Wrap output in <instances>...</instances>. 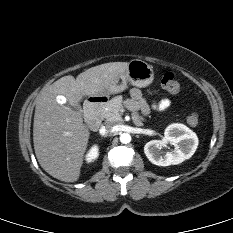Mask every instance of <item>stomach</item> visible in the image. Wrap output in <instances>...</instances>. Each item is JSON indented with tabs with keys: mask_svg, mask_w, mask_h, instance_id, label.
Returning a JSON list of instances; mask_svg holds the SVG:
<instances>
[{
	"mask_svg": "<svg viewBox=\"0 0 233 233\" xmlns=\"http://www.w3.org/2000/svg\"><path fill=\"white\" fill-rule=\"evenodd\" d=\"M154 72L151 65L140 59H133L128 63L127 69L102 94H116L124 91L127 83L136 87H146L152 83Z\"/></svg>",
	"mask_w": 233,
	"mask_h": 233,
	"instance_id": "stomach-1",
	"label": "stomach"
}]
</instances>
